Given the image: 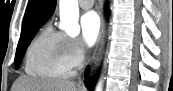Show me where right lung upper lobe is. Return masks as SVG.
<instances>
[{
  "instance_id": "cb5924a9",
  "label": "right lung upper lobe",
  "mask_w": 173,
  "mask_h": 91,
  "mask_svg": "<svg viewBox=\"0 0 173 91\" xmlns=\"http://www.w3.org/2000/svg\"><path fill=\"white\" fill-rule=\"evenodd\" d=\"M56 0H30L23 19L22 32L42 26L51 16Z\"/></svg>"
}]
</instances>
